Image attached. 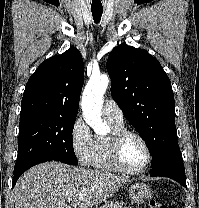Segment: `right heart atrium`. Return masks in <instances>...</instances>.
Here are the masks:
<instances>
[{"mask_svg": "<svg viewBox=\"0 0 199 208\" xmlns=\"http://www.w3.org/2000/svg\"><path fill=\"white\" fill-rule=\"evenodd\" d=\"M70 142L74 155L80 164L87 166L92 162L95 141L83 117L78 116L70 129Z\"/></svg>", "mask_w": 199, "mask_h": 208, "instance_id": "d8ad5b80", "label": "right heart atrium"}]
</instances>
